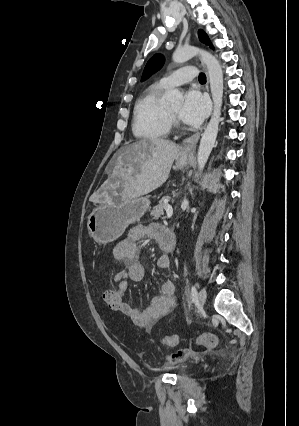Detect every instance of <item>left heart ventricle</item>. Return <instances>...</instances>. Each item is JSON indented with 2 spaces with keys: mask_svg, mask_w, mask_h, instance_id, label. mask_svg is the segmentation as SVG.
I'll return each mask as SVG.
<instances>
[{
  "mask_svg": "<svg viewBox=\"0 0 299 426\" xmlns=\"http://www.w3.org/2000/svg\"><path fill=\"white\" fill-rule=\"evenodd\" d=\"M170 108L178 116L181 109V104L170 105Z\"/></svg>",
  "mask_w": 299,
  "mask_h": 426,
  "instance_id": "left-heart-ventricle-1",
  "label": "left heart ventricle"
}]
</instances>
